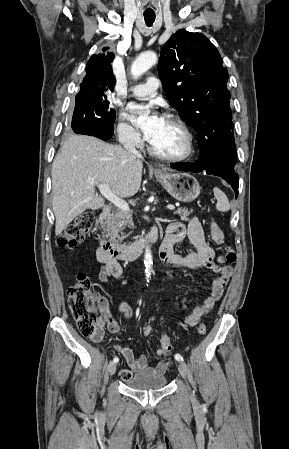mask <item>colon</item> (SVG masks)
<instances>
[{"label": "colon", "instance_id": "obj_1", "mask_svg": "<svg viewBox=\"0 0 289 449\" xmlns=\"http://www.w3.org/2000/svg\"><path fill=\"white\" fill-rule=\"evenodd\" d=\"M93 222V215L85 212L75 218L60 236L58 244L61 247L73 248L81 243L89 232ZM210 232L213 242L217 245L224 243V233L219 225L211 220ZM225 260L232 264L236 260L235 251L231 247L226 248ZM68 305L80 333L86 337L95 336L101 324L102 299L91 290L90 282L85 274H78L75 283L68 288ZM152 327L147 325L142 334L148 337L152 334ZM207 331L205 324H200L197 332L204 335ZM172 349L167 335L160 338L159 350L167 355Z\"/></svg>", "mask_w": 289, "mask_h": 449}]
</instances>
